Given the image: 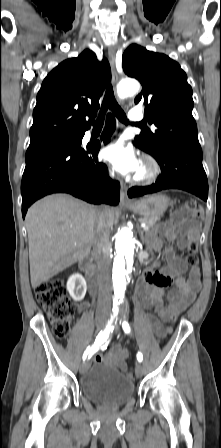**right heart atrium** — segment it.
Returning a JSON list of instances; mask_svg holds the SVG:
<instances>
[{
  "label": "right heart atrium",
  "instance_id": "1",
  "mask_svg": "<svg viewBox=\"0 0 221 448\" xmlns=\"http://www.w3.org/2000/svg\"><path fill=\"white\" fill-rule=\"evenodd\" d=\"M107 176H108L109 179H112L113 176H114L113 172L109 170Z\"/></svg>",
  "mask_w": 221,
  "mask_h": 448
}]
</instances>
